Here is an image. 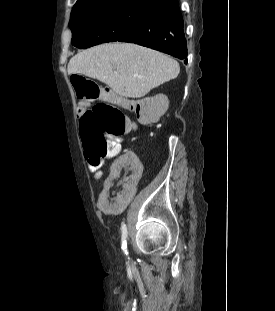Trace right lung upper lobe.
Instances as JSON below:
<instances>
[{"instance_id": "cb5924a9", "label": "right lung upper lobe", "mask_w": 275, "mask_h": 311, "mask_svg": "<svg viewBox=\"0 0 275 311\" xmlns=\"http://www.w3.org/2000/svg\"><path fill=\"white\" fill-rule=\"evenodd\" d=\"M77 1H83V0H77ZM155 1H159L161 4H165V3L171 2L173 0H155Z\"/></svg>"}]
</instances>
